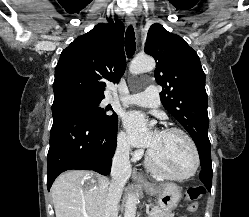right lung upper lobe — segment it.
Returning a JSON list of instances; mask_svg holds the SVG:
<instances>
[{
	"label": "right lung upper lobe",
	"mask_w": 249,
	"mask_h": 217,
	"mask_svg": "<svg viewBox=\"0 0 249 217\" xmlns=\"http://www.w3.org/2000/svg\"><path fill=\"white\" fill-rule=\"evenodd\" d=\"M76 38L60 55L55 69L54 95L77 91L104 98L106 81L119 82L126 67L123 23L108 19Z\"/></svg>",
	"instance_id": "cb5924a9"
}]
</instances>
